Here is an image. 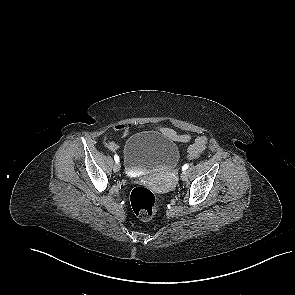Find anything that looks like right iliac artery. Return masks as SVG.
I'll return each mask as SVG.
<instances>
[{"label": "right iliac artery", "instance_id": "82829eb1", "mask_svg": "<svg viewBox=\"0 0 295 295\" xmlns=\"http://www.w3.org/2000/svg\"><path fill=\"white\" fill-rule=\"evenodd\" d=\"M114 159H115V162H116V163L119 162V157H118V155H114Z\"/></svg>", "mask_w": 295, "mask_h": 295}]
</instances>
